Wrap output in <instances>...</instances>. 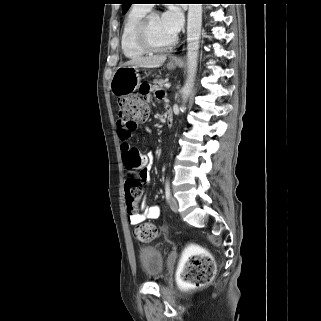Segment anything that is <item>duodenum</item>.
<instances>
[{"label":"duodenum","instance_id":"410a0bca","mask_svg":"<svg viewBox=\"0 0 321 321\" xmlns=\"http://www.w3.org/2000/svg\"><path fill=\"white\" fill-rule=\"evenodd\" d=\"M166 123H167V125H168L169 127L172 126V124H173V115H172L171 109H170V110H167V113H166Z\"/></svg>","mask_w":321,"mask_h":321}]
</instances>
